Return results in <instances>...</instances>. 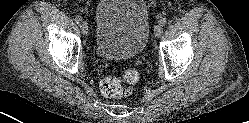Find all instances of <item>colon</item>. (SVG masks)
<instances>
[{
    "label": "colon",
    "instance_id": "5ec220e1",
    "mask_svg": "<svg viewBox=\"0 0 249 123\" xmlns=\"http://www.w3.org/2000/svg\"><path fill=\"white\" fill-rule=\"evenodd\" d=\"M137 74L128 71L123 77L109 76L100 83L101 93L108 98H122L131 93V85L136 82Z\"/></svg>",
    "mask_w": 249,
    "mask_h": 123
}]
</instances>
